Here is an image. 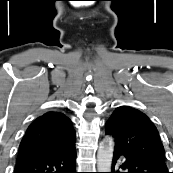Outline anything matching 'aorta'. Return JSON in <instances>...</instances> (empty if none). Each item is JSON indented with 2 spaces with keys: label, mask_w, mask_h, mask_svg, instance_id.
Returning a JSON list of instances; mask_svg holds the SVG:
<instances>
[{
  "label": "aorta",
  "mask_w": 173,
  "mask_h": 173,
  "mask_svg": "<svg viewBox=\"0 0 173 173\" xmlns=\"http://www.w3.org/2000/svg\"><path fill=\"white\" fill-rule=\"evenodd\" d=\"M114 152V141L111 137H105L99 144L97 152L98 172H110Z\"/></svg>",
  "instance_id": "1"
}]
</instances>
